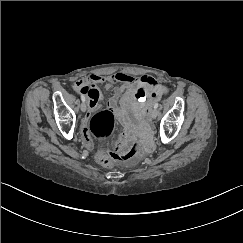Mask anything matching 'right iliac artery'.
<instances>
[{
  "instance_id": "82829eb1",
  "label": "right iliac artery",
  "mask_w": 243,
  "mask_h": 243,
  "mask_svg": "<svg viewBox=\"0 0 243 243\" xmlns=\"http://www.w3.org/2000/svg\"><path fill=\"white\" fill-rule=\"evenodd\" d=\"M81 100H82V102L85 101V97L83 95H81Z\"/></svg>"
}]
</instances>
